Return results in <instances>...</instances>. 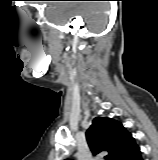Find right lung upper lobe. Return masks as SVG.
<instances>
[{
	"label": "right lung upper lobe",
	"mask_w": 158,
	"mask_h": 160,
	"mask_svg": "<svg viewBox=\"0 0 158 160\" xmlns=\"http://www.w3.org/2000/svg\"><path fill=\"white\" fill-rule=\"evenodd\" d=\"M86 139L93 155L108 152L107 160H124L137 147L132 135L111 118H94Z\"/></svg>",
	"instance_id": "right-lung-upper-lobe-1"
}]
</instances>
